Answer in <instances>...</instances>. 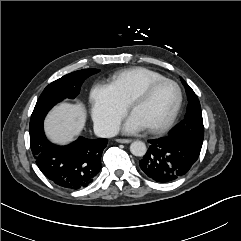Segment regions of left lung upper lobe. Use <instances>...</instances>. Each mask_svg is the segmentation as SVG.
<instances>
[{
	"mask_svg": "<svg viewBox=\"0 0 241 241\" xmlns=\"http://www.w3.org/2000/svg\"><path fill=\"white\" fill-rule=\"evenodd\" d=\"M181 81L185 86L188 96L187 113L185 119L168 136L182 139L191 148L200 153L204 138L201 106L194 91L182 78Z\"/></svg>",
	"mask_w": 241,
	"mask_h": 241,
	"instance_id": "left-lung-upper-lobe-1",
	"label": "left lung upper lobe"
}]
</instances>
